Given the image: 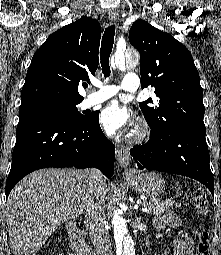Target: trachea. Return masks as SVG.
<instances>
[{"mask_svg": "<svg viewBox=\"0 0 221 255\" xmlns=\"http://www.w3.org/2000/svg\"><path fill=\"white\" fill-rule=\"evenodd\" d=\"M115 26L111 25L105 29L100 48V63L104 77H109L111 71L109 57L114 44Z\"/></svg>", "mask_w": 221, "mask_h": 255, "instance_id": "trachea-1", "label": "trachea"}]
</instances>
